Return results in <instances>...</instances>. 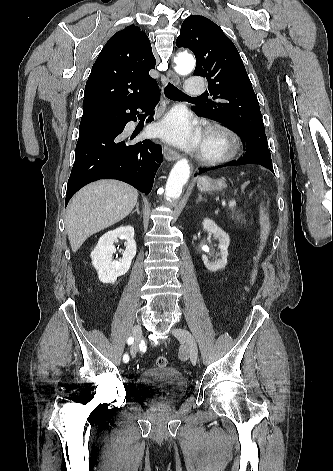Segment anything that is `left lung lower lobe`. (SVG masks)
I'll list each match as a JSON object with an SVG mask.
<instances>
[{
  "label": "left lung lower lobe",
  "instance_id": "0a47b994",
  "mask_svg": "<svg viewBox=\"0 0 333 471\" xmlns=\"http://www.w3.org/2000/svg\"><path fill=\"white\" fill-rule=\"evenodd\" d=\"M245 164H259L268 168L271 172L274 173L270 151L265 150V149H258V150H253V151H246L245 155L242 158L238 159L237 161H234L225 165H221V166L199 169L195 175H199L206 171L224 167V166L245 165Z\"/></svg>",
  "mask_w": 333,
  "mask_h": 471
}]
</instances>
